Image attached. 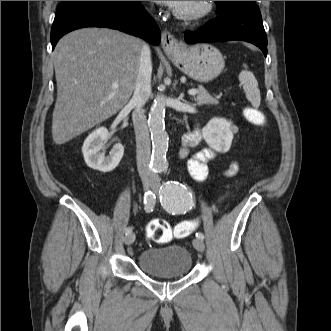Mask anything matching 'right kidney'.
Returning a JSON list of instances; mask_svg holds the SVG:
<instances>
[{
  "mask_svg": "<svg viewBox=\"0 0 331 331\" xmlns=\"http://www.w3.org/2000/svg\"><path fill=\"white\" fill-rule=\"evenodd\" d=\"M110 134L105 127L93 131L84 141L82 153L85 163L92 169L107 173L115 169L124 154V147L118 143L113 146L108 156H105V143Z\"/></svg>",
  "mask_w": 331,
  "mask_h": 331,
  "instance_id": "1",
  "label": "right kidney"
}]
</instances>
